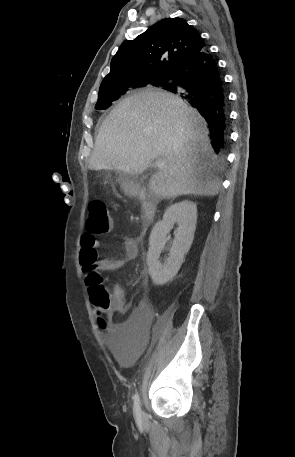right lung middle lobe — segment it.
<instances>
[{
  "label": "right lung middle lobe",
  "instance_id": "right-lung-middle-lobe-1",
  "mask_svg": "<svg viewBox=\"0 0 295 457\" xmlns=\"http://www.w3.org/2000/svg\"><path fill=\"white\" fill-rule=\"evenodd\" d=\"M173 76H164V77H155L148 79L144 82L138 83L136 87L139 86H146V85H153L156 87H161L166 89L170 84ZM131 87L127 89H113V90H103L99 92L98 101L96 103L95 108L97 110L107 109L112 105L114 101H116L120 96L124 95L129 90L136 88Z\"/></svg>",
  "mask_w": 295,
  "mask_h": 457
}]
</instances>
